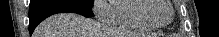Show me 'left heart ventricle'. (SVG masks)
Masks as SVG:
<instances>
[{"mask_svg": "<svg viewBox=\"0 0 219 37\" xmlns=\"http://www.w3.org/2000/svg\"><path fill=\"white\" fill-rule=\"evenodd\" d=\"M156 6L149 13V17L159 23L167 22L171 17V9L165 0H154Z\"/></svg>", "mask_w": 219, "mask_h": 37, "instance_id": "1", "label": "left heart ventricle"}]
</instances>
